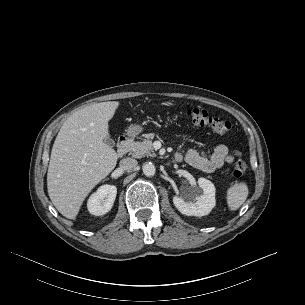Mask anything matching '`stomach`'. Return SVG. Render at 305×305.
<instances>
[{"mask_svg":"<svg viewBox=\"0 0 305 305\" xmlns=\"http://www.w3.org/2000/svg\"><path fill=\"white\" fill-rule=\"evenodd\" d=\"M143 131V127L139 124H132L126 130V134L129 137H134Z\"/></svg>","mask_w":305,"mask_h":305,"instance_id":"1","label":"stomach"}]
</instances>
